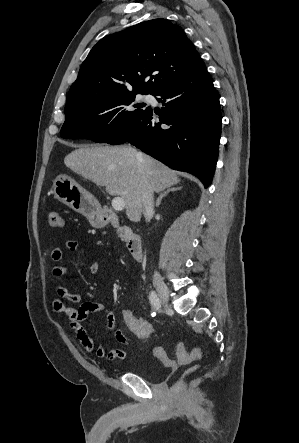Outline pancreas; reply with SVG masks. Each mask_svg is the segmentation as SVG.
Returning a JSON list of instances; mask_svg holds the SVG:
<instances>
[{"instance_id":"cf45deb5","label":"pancreas","mask_w":299,"mask_h":443,"mask_svg":"<svg viewBox=\"0 0 299 443\" xmlns=\"http://www.w3.org/2000/svg\"><path fill=\"white\" fill-rule=\"evenodd\" d=\"M118 233L121 240H126V236L123 233H121L120 231H118Z\"/></svg>"}]
</instances>
